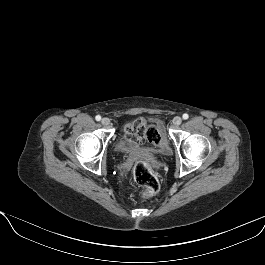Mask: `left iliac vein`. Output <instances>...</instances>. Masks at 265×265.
I'll return each mask as SVG.
<instances>
[{
    "mask_svg": "<svg viewBox=\"0 0 265 265\" xmlns=\"http://www.w3.org/2000/svg\"><path fill=\"white\" fill-rule=\"evenodd\" d=\"M182 123V118L179 116L174 117L173 124L174 126H179Z\"/></svg>",
    "mask_w": 265,
    "mask_h": 265,
    "instance_id": "1",
    "label": "left iliac vein"
}]
</instances>
